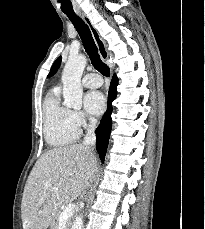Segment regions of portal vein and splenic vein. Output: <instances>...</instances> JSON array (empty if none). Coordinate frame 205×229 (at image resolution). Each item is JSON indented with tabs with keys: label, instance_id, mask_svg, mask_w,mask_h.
I'll use <instances>...</instances> for the list:
<instances>
[{
	"label": "portal vein and splenic vein",
	"instance_id": "portal-vein-and-splenic-vein-1",
	"mask_svg": "<svg viewBox=\"0 0 205 229\" xmlns=\"http://www.w3.org/2000/svg\"><path fill=\"white\" fill-rule=\"evenodd\" d=\"M53 190H57V187H52ZM75 205L73 203L67 204L65 209L61 212L59 216V222L65 223L72 216Z\"/></svg>",
	"mask_w": 205,
	"mask_h": 229
}]
</instances>
